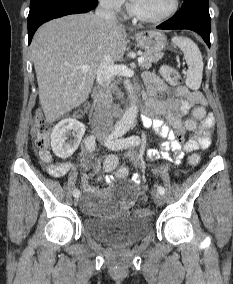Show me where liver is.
<instances>
[{
  "label": "liver",
  "instance_id": "liver-1",
  "mask_svg": "<svg viewBox=\"0 0 233 284\" xmlns=\"http://www.w3.org/2000/svg\"><path fill=\"white\" fill-rule=\"evenodd\" d=\"M31 47L39 100L52 123L86 101L105 55L113 61L122 58L126 29L93 13L68 15L42 25ZM82 65L90 69H76Z\"/></svg>",
  "mask_w": 233,
  "mask_h": 284
}]
</instances>
